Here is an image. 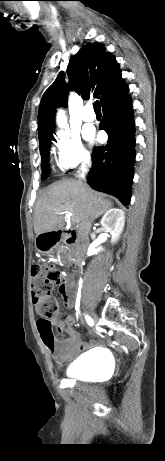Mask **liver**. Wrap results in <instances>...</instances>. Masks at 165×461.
<instances>
[{"mask_svg":"<svg viewBox=\"0 0 165 461\" xmlns=\"http://www.w3.org/2000/svg\"><path fill=\"white\" fill-rule=\"evenodd\" d=\"M112 207V202L80 180L52 184L36 203L34 231L37 236L63 228L65 212L78 224V234L87 237L93 220Z\"/></svg>","mask_w":165,"mask_h":461,"instance_id":"1","label":"liver"}]
</instances>
